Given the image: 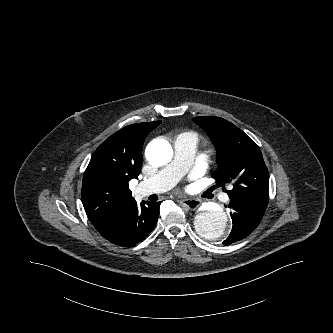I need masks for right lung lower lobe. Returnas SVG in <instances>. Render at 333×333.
I'll list each match as a JSON object with an SVG mask.
<instances>
[{
	"label": "right lung lower lobe",
	"mask_w": 333,
	"mask_h": 333,
	"mask_svg": "<svg viewBox=\"0 0 333 333\" xmlns=\"http://www.w3.org/2000/svg\"><path fill=\"white\" fill-rule=\"evenodd\" d=\"M161 202L136 201L116 212L97 231L113 244L131 247L145 239L154 229Z\"/></svg>",
	"instance_id": "obj_1"
}]
</instances>
